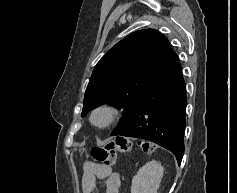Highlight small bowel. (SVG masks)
<instances>
[{"mask_svg": "<svg viewBox=\"0 0 237 193\" xmlns=\"http://www.w3.org/2000/svg\"><path fill=\"white\" fill-rule=\"evenodd\" d=\"M97 180L104 181L105 193H119L122 184L120 175L111 167L103 165L85 168L81 183L82 193H94Z\"/></svg>", "mask_w": 237, "mask_h": 193, "instance_id": "c3829d8e", "label": "small bowel"}]
</instances>
